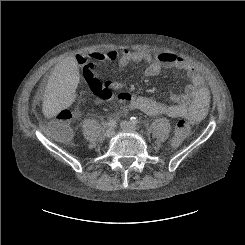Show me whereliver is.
I'll use <instances>...</instances> for the list:
<instances>
[{"label":"liver","mask_w":245,"mask_h":245,"mask_svg":"<svg viewBox=\"0 0 245 245\" xmlns=\"http://www.w3.org/2000/svg\"><path fill=\"white\" fill-rule=\"evenodd\" d=\"M78 83L79 71L75 57H67L54 67L42 102V111L47 119L71 106Z\"/></svg>","instance_id":"liver-1"}]
</instances>
